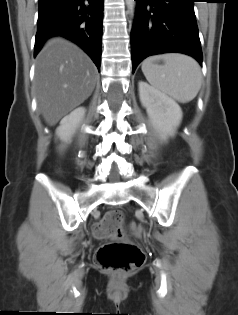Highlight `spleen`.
<instances>
[{
	"label": "spleen",
	"instance_id": "spleen-1",
	"mask_svg": "<svg viewBox=\"0 0 238 315\" xmlns=\"http://www.w3.org/2000/svg\"><path fill=\"white\" fill-rule=\"evenodd\" d=\"M159 61H163V64L159 65ZM141 69L155 89L180 103L193 100L202 85L200 65L184 54L169 53L149 57L142 62Z\"/></svg>",
	"mask_w": 238,
	"mask_h": 315
}]
</instances>
